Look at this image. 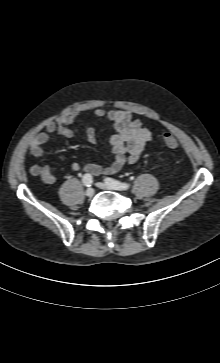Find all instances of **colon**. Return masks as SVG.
I'll return each instance as SVG.
<instances>
[{
    "mask_svg": "<svg viewBox=\"0 0 220 363\" xmlns=\"http://www.w3.org/2000/svg\"><path fill=\"white\" fill-rule=\"evenodd\" d=\"M163 141L168 148L174 149L177 147L178 142L172 133H165L163 135Z\"/></svg>",
    "mask_w": 220,
    "mask_h": 363,
    "instance_id": "1",
    "label": "colon"
}]
</instances>
